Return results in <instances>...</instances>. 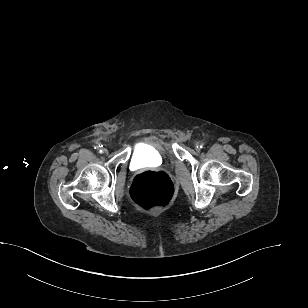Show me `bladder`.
Masks as SVG:
<instances>
[{
  "mask_svg": "<svg viewBox=\"0 0 308 308\" xmlns=\"http://www.w3.org/2000/svg\"><path fill=\"white\" fill-rule=\"evenodd\" d=\"M164 158L165 149L163 146L153 142H144L135 148L132 163L140 167L159 165L164 161Z\"/></svg>",
  "mask_w": 308,
  "mask_h": 308,
  "instance_id": "bladder-1",
  "label": "bladder"
}]
</instances>
